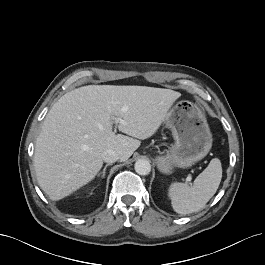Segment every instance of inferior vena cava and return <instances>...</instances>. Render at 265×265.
<instances>
[{
    "label": "inferior vena cava",
    "mask_w": 265,
    "mask_h": 265,
    "mask_svg": "<svg viewBox=\"0 0 265 265\" xmlns=\"http://www.w3.org/2000/svg\"><path fill=\"white\" fill-rule=\"evenodd\" d=\"M102 159L104 162L111 164L119 159V154L115 150L108 149L103 152Z\"/></svg>",
    "instance_id": "inferior-vena-cava-1"
}]
</instances>
